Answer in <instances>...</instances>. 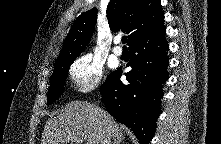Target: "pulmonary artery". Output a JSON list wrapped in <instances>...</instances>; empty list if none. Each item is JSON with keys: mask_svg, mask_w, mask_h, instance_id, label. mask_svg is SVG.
Returning a JSON list of instances; mask_svg holds the SVG:
<instances>
[{"mask_svg": "<svg viewBox=\"0 0 221 144\" xmlns=\"http://www.w3.org/2000/svg\"><path fill=\"white\" fill-rule=\"evenodd\" d=\"M114 47L112 49L113 53L116 55V56H121L122 55V48L118 45L120 43V38H116L114 40Z\"/></svg>", "mask_w": 221, "mask_h": 144, "instance_id": "1", "label": "pulmonary artery"}]
</instances>
